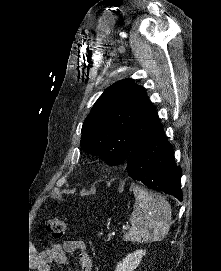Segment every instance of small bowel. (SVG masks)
Masks as SVG:
<instances>
[{"label": "small bowel", "instance_id": "small-bowel-1", "mask_svg": "<svg viewBox=\"0 0 221 271\" xmlns=\"http://www.w3.org/2000/svg\"><path fill=\"white\" fill-rule=\"evenodd\" d=\"M78 253L80 271H92V258L87 252L85 242L81 240H65L62 244H55L52 248L42 251L38 256V271H50V264H68V253Z\"/></svg>", "mask_w": 221, "mask_h": 271}]
</instances>
